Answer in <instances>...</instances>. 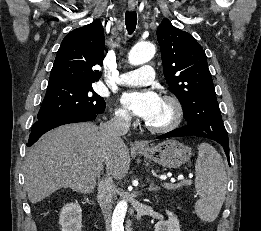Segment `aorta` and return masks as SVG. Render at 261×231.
I'll list each match as a JSON object with an SVG mask.
<instances>
[{
	"instance_id": "obj_1",
	"label": "aorta",
	"mask_w": 261,
	"mask_h": 231,
	"mask_svg": "<svg viewBox=\"0 0 261 231\" xmlns=\"http://www.w3.org/2000/svg\"><path fill=\"white\" fill-rule=\"evenodd\" d=\"M155 46L150 42H139L129 52L128 60L132 65H141L153 58ZM128 204L126 201H120L113 212L112 231H124V218L127 212Z\"/></svg>"
}]
</instances>
